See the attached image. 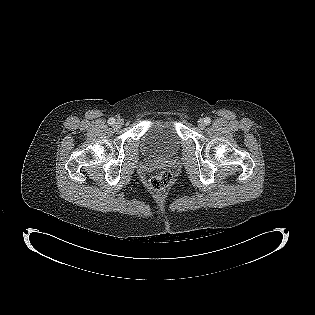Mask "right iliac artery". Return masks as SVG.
I'll list each match as a JSON object with an SVG mask.
<instances>
[{
  "label": "right iliac artery",
  "instance_id": "82829eb1",
  "mask_svg": "<svg viewBox=\"0 0 315 315\" xmlns=\"http://www.w3.org/2000/svg\"><path fill=\"white\" fill-rule=\"evenodd\" d=\"M114 123H115V119H114V118H110V119L108 120V124L112 125V124H114Z\"/></svg>",
  "mask_w": 315,
  "mask_h": 315
}]
</instances>
